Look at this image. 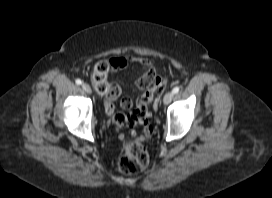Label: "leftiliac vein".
I'll list each match as a JSON object with an SVG mask.
<instances>
[{
    "mask_svg": "<svg viewBox=\"0 0 272 198\" xmlns=\"http://www.w3.org/2000/svg\"><path fill=\"white\" fill-rule=\"evenodd\" d=\"M173 92H167L163 98V103L168 105L173 99Z\"/></svg>",
    "mask_w": 272,
    "mask_h": 198,
    "instance_id": "left-iliac-vein-1",
    "label": "left iliac vein"
}]
</instances>
